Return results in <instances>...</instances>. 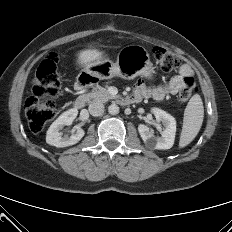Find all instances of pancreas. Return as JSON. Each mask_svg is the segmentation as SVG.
<instances>
[{"instance_id": "pancreas-1", "label": "pancreas", "mask_w": 232, "mask_h": 232, "mask_svg": "<svg viewBox=\"0 0 232 232\" xmlns=\"http://www.w3.org/2000/svg\"><path fill=\"white\" fill-rule=\"evenodd\" d=\"M87 101L93 102H101L105 103L110 99H114L115 96L112 95L107 89L99 88L98 90H93L90 93L85 94Z\"/></svg>"}]
</instances>
